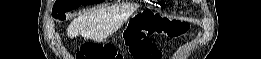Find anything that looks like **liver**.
<instances>
[{"label": "liver", "instance_id": "6515ba94", "mask_svg": "<svg viewBox=\"0 0 261 59\" xmlns=\"http://www.w3.org/2000/svg\"><path fill=\"white\" fill-rule=\"evenodd\" d=\"M124 20L114 9L99 7L74 18L67 28V35L73 38L80 34L101 41L116 32Z\"/></svg>", "mask_w": 261, "mask_h": 59}]
</instances>
